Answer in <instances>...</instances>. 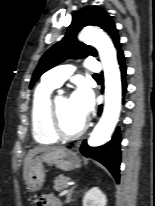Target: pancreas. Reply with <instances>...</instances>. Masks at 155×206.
Listing matches in <instances>:
<instances>
[{"instance_id": "cf45deb5", "label": "pancreas", "mask_w": 155, "mask_h": 206, "mask_svg": "<svg viewBox=\"0 0 155 206\" xmlns=\"http://www.w3.org/2000/svg\"><path fill=\"white\" fill-rule=\"evenodd\" d=\"M69 181V178L64 175H59L54 181V189L58 190L61 187H64L65 184Z\"/></svg>"}]
</instances>
